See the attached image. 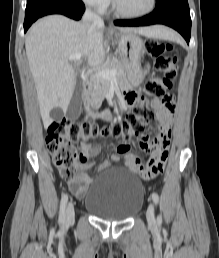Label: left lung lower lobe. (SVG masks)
<instances>
[{
	"label": "left lung lower lobe",
	"instance_id": "left-lung-lower-lobe-1",
	"mask_svg": "<svg viewBox=\"0 0 219 258\" xmlns=\"http://www.w3.org/2000/svg\"><path fill=\"white\" fill-rule=\"evenodd\" d=\"M117 26H147L164 24L177 30L189 44L191 36V18L187 0H165L156 5L155 10L142 18L116 20Z\"/></svg>",
	"mask_w": 219,
	"mask_h": 258
}]
</instances>
